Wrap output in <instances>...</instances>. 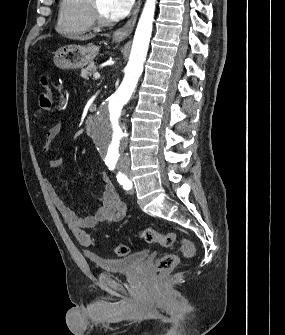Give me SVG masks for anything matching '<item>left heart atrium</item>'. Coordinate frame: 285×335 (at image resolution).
<instances>
[{"instance_id":"left-heart-atrium-1","label":"left heart atrium","mask_w":285,"mask_h":335,"mask_svg":"<svg viewBox=\"0 0 285 335\" xmlns=\"http://www.w3.org/2000/svg\"><path fill=\"white\" fill-rule=\"evenodd\" d=\"M134 1H104L105 9L112 22L123 18L131 9Z\"/></svg>"}]
</instances>
